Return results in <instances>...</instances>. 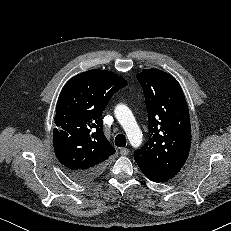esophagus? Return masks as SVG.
Masks as SVG:
<instances>
[{"label": "esophagus", "mask_w": 231, "mask_h": 231, "mask_svg": "<svg viewBox=\"0 0 231 231\" xmlns=\"http://www.w3.org/2000/svg\"><path fill=\"white\" fill-rule=\"evenodd\" d=\"M128 153H129V150L127 148H121L120 149V154L122 156H126V155H128Z\"/></svg>", "instance_id": "34e87169"}]
</instances>
